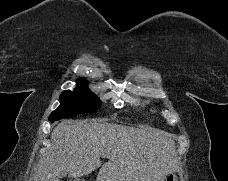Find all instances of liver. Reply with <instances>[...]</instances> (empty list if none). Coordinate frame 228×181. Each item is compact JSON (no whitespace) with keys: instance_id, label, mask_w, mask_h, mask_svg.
Instances as JSON below:
<instances>
[{"instance_id":"liver-1","label":"liver","mask_w":228,"mask_h":181,"mask_svg":"<svg viewBox=\"0 0 228 181\" xmlns=\"http://www.w3.org/2000/svg\"><path fill=\"white\" fill-rule=\"evenodd\" d=\"M52 147L44 153L32 181H58L90 175L102 165L100 181H163L178 169L175 141L159 129L112 125L107 119L63 121L53 129Z\"/></svg>"}]
</instances>
